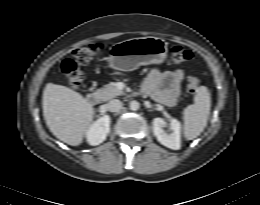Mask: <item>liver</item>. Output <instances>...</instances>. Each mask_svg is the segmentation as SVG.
I'll use <instances>...</instances> for the list:
<instances>
[{
    "label": "liver",
    "mask_w": 260,
    "mask_h": 205,
    "mask_svg": "<svg viewBox=\"0 0 260 205\" xmlns=\"http://www.w3.org/2000/svg\"><path fill=\"white\" fill-rule=\"evenodd\" d=\"M42 105L46 125L52 134L68 145H80L95 115L86 98L68 87L48 83Z\"/></svg>",
    "instance_id": "liver-1"
}]
</instances>
